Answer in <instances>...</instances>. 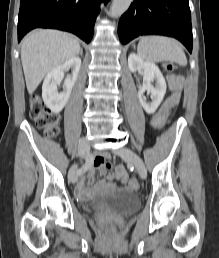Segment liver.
I'll return each mask as SVG.
<instances>
[{
  "label": "liver",
  "instance_id": "liver-1",
  "mask_svg": "<svg viewBox=\"0 0 219 258\" xmlns=\"http://www.w3.org/2000/svg\"><path fill=\"white\" fill-rule=\"evenodd\" d=\"M79 51V42L67 33L50 29L30 32L21 47L28 93L31 95L52 69L75 57Z\"/></svg>",
  "mask_w": 219,
  "mask_h": 258
}]
</instances>
